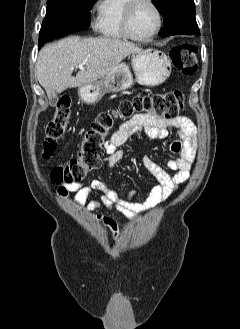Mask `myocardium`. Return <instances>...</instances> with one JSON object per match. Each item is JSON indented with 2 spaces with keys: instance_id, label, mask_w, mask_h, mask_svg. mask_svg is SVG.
<instances>
[{
  "instance_id": "1",
  "label": "myocardium",
  "mask_w": 240,
  "mask_h": 329,
  "mask_svg": "<svg viewBox=\"0 0 240 329\" xmlns=\"http://www.w3.org/2000/svg\"><path fill=\"white\" fill-rule=\"evenodd\" d=\"M145 2L148 3L155 11L157 16V25L155 29L147 36H138L133 33L130 26L131 16L134 10V7L141 3ZM163 25V14L159 6L156 4L154 0H129L127 5L125 6L124 13H123V19H122V27L125 35L136 41H148L153 39L161 30Z\"/></svg>"
}]
</instances>
